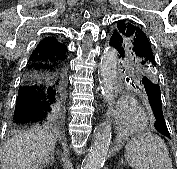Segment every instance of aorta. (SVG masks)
<instances>
[{
  "label": "aorta",
  "mask_w": 177,
  "mask_h": 169,
  "mask_svg": "<svg viewBox=\"0 0 177 169\" xmlns=\"http://www.w3.org/2000/svg\"><path fill=\"white\" fill-rule=\"evenodd\" d=\"M117 69V51L107 49L104 51L100 62V75L104 89V99L108 105L114 101V83ZM112 132L110 121L106 120L102 127L94 134L92 147L88 154L84 169H101L104 165L111 142Z\"/></svg>",
  "instance_id": "1"
}]
</instances>
